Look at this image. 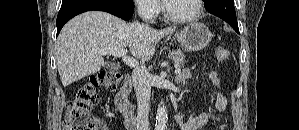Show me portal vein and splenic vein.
Segmentation results:
<instances>
[{
  "instance_id": "obj_1",
  "label": "portal vein and splenic vein",
  "mask_w": 299,
  "mask_h": 130,
  "mask_svg": "<svg viewBox=\"0 0 299 130\" xmlns=\"http://www.w3.org/2000/svg\"><path fill=\"white\" fill-rule=\"evenodd\" d=\"M101 55H113L122 59V61L128 66L135 67L138 65V62L135 58L127 55V50L122 49H99L96 51ZM181 72L180 67H176L175 74H179Z\"/></svg>"
}]
</instances>
